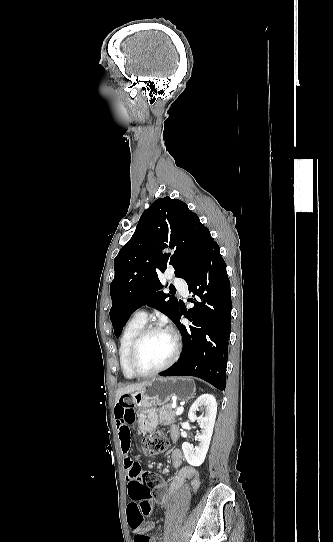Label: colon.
<instances>
[{
    "label": "colon",
    "mask_w": 333,
    "mask_h": 542,
    "mask_svg": "<svg viewBox=\"0 0 333 542\" xmlns=\"http://www.w3.org/2000/svg\"><path fill=\"white\" fill-rule=\"evenodd\" d=\"M168 445L167 439L161 432L146 436L140 444V448L145 456L151 457L162 453ZM124 465L130 469L127 473L129 480L136 479L128 486L129 495L127 496L126 516L132 525L145 524L148 517L153 514L151 505H138L140 501L151 498V489L160 487L162 484L161 476L151 471H141L137 458H126ZM138 540L144 541V537H138Z\"/></svg>",
    "instance_id": "1"
}]
</instances>
